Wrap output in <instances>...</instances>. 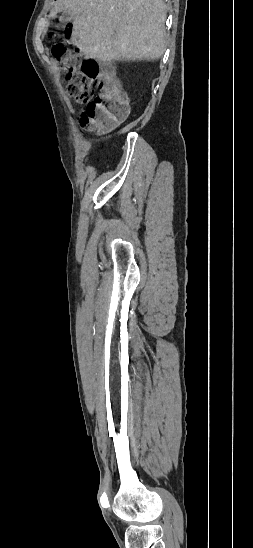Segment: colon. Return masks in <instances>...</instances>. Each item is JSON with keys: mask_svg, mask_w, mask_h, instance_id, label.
I'll return each mask as SVG.
<instances>
[{"mask_svg": "<svg viewBox=\"0 0 253 548\" xmlns=\"http://www.w3.org/2000/svg\"><path fill=\"white\" fill-rule=\"evenodd\" d=\"M52 55L66 71L67 94L86 104L81 114L84 127L106 131L127 117L126 94L110 68L100 69L95 60L81 58L63 44H55Z\"/></svg>", "mask_w": 253, "mask_h": 548, "instance_id": "obj_1", "label": "colon"}]
</instances>
